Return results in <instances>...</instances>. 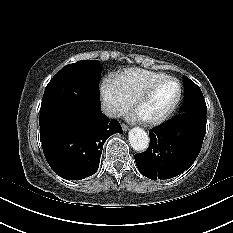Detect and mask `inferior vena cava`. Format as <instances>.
Listing matches in <instances>:
<instances>
[{
    "label": "inferior vena cava",
    "instance_id": "602c4592",
    "mask_svg": "<svg viewBox=\"0 0 233 233\" xmlns=\"http://www.w3.org/2000/svg\"><path fill=\"white\" fill-rule=\"evenodd\" d=\"M102 111L109 117H112L116 114L115 108L107 102H102Z\"/></svg>",
    "mask_w": 233,
    "mask_h": 233
}]
</instances>
